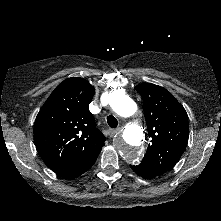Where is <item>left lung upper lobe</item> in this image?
<instances>
[{
	"label": "left lung upper lobe",
	"instance_id": "obj_1",
	"mask_svg": "<svg viewBox=\"0 0 221 221\" xmlns=\"http://www.w3.org/2000/svg\"><path fill=\"white\" fill-rule=\"evenodd\" d=\"M135 90L142 96L151 138L141 163L163 174L178 162L187 146L188 116L184 107L161 86L142 83Z\"/></svg>",
	"mask_w": 221,
	"mask_h": 221
}]
</instances>
